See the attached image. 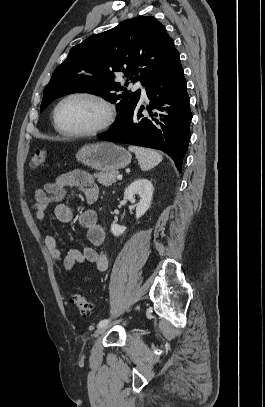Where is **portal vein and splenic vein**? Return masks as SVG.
<instances>
[{"instance_id":"1","label":"portal vein and splenic vein","mask_w":265,"mask_h":407,"mask_svg":"<svg viewBox=\"0 0 265 407\" xmlns=\"http://www.w3.org/2000/svg\"><path fill=\"white\" fill-rule=\"evenodd\" d=\"M117 179H118V180H121V179H122V175H121V174H118V175H117Z\"/></svg>"}]
</instances>
